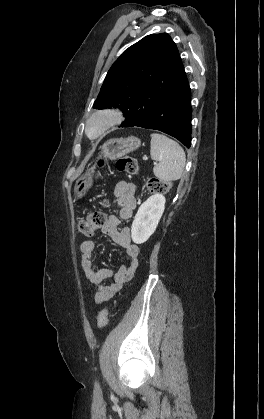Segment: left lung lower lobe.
Returning <instances> with one entry per match:
<instances>
[{
	"label": "left lung lower lobe",
	"instance_id": "0a47b994",
	"mask_svg": "<svg viewBox=\"0 0 264 419\" xmlns=\"http://www.w3.org/2000/svg\"><path fill=\"white\" fill-rule=\"evenodd\" d=\"M122 127H142L162 131L186 147L191 144V93L180 64L177 73L159 87H153L136 106L124 114Z\"/></svg>",
	"mask_w": 264,
	"mask_h": 419
}]
</instances>
